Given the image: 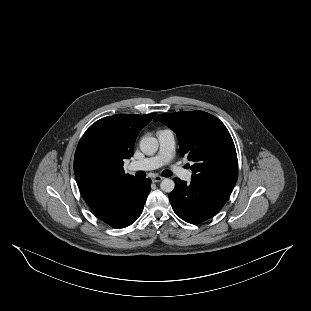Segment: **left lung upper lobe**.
<instances>
[{
  "mask_svg": "<svg viewBox=\"0 0 311 311\" xmlns=\"http://www.w3.org/2000/svg\"><path fill=\"white\" fill-rule=\"evenodd\" d=\"M160 121L178 137L180 152L193 163L191 180L234 187L238 161L232 137L225 125L203 111L160 114Z\"/></svg>",
  "mask_w": 311,
  "mask_h": 311,
  "instance_id": "5c2ea615",
  "label": "left lung upper lobe"
}]
</instances>
